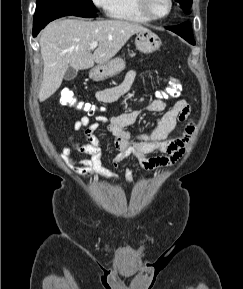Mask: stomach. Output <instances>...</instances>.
<instances>
[{
    "label": "stomach",
    "instance_id": "1",
    "mask_svg": "<svg viewBox=\"0 0 243 289\" xmlns=\"http://www.w3.org/2000/svg\"><path fill=\"white\" fill-rule=\"evenodd\" d=\"M160 38L150 30L140 31L135 38V45L142 53H152L161 46ZM125 61L122 58H114L106 63L98 64L89 73L90 77L96 81L113 77L124 70Z\"/></svg>",
    "mask_w": 243,
    "mask_h": 289
}]
</instances>
